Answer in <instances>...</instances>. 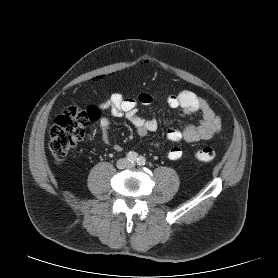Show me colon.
<instances>
[{
	"label": "colon",
	"mask_w": 278,
	"mask_h": 278,
	"mask_svg": "<svg viewBox=\"0 0 278 278\" xmlns=\"http://www.w3.org/2000/svg\"><path fill=\"white\" fill-rule=\"evenodd\" d=\"M100 116L97 107L86 109L68 106L58 115L49 133V150L58 163L63 162L69 151L83 138L89 125ZM216 152L211 147H202L195 152V158L201 162H211Z\"/></svg>",
	"instance_id": "colon-1"
}]
</instances>
